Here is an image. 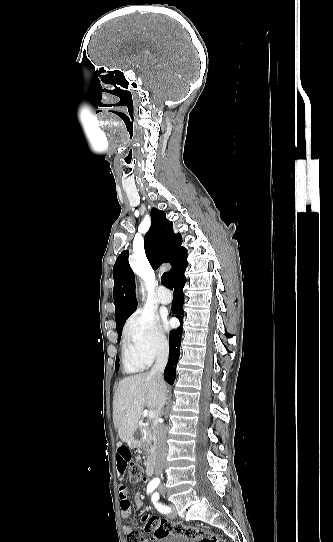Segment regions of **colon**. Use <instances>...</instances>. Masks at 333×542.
<instances>
[{"instance_id":"1","label":"colon","mask_w":333,"mask_h":542,"mask_svg":"<svg viewBox=\"0 0 333 542\" xmlns=\"http://www.w3.org/2000/svg\"><path fill=\"white\" fill-rule=\"evenodd\" d=\"M133 455V453H132ZM146 468L139 463L133 462L130 466V476L133 482H141L145 478ZM141 530L150 534L154 531V538L164 539L168 536L181 537L190 542H231L230 536H219L200 526H190L182 522H171L159 519L153 515L141 517ZM147 539L141 531H129L127 542H146Z\"/></svg>"}]
</instances>
